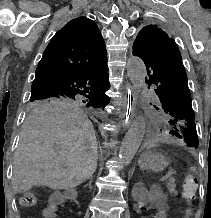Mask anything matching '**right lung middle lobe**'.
<instances>
[{
    "label": "right lung middle lobe",
    "instance_id": "obj_1",
    "mask_svg": "<svg viewBox=\"0 0 211 218\" xmlns=\"http://www.w3.org/2000/svg\"><path fill=\"white\" fill-rule=\"evenodd\" d=\"M32 88L31 91H34ZM29 107L31 109H47V108H58L68 106H80L87 108H100L108 104L109 99L103 97H93L83 99L81 97H45L40 99H30Z\"/></svg>",
    "mask_w": 211,
    "mask_h": 218
}]
</instances>
